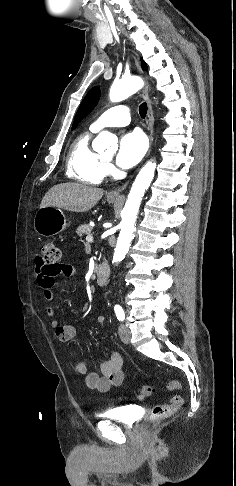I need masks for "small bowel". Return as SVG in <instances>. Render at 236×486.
Segmentation results:
<instances>
[{
    "label": "small bowel",
    "mask_w": 236,
    "mask_h": 486,
    "mask_svg": "<svg viewBox=\"0 0 236 486\" xmlns=\"http://www.w3.org/2000/svg\"><path fill=\"white\" fill-rule=\"evenodd\" d=\"M64 275L66 277H74L76 271L73 266L69 264H58L53 269L47 268L38 258L36 260L35 279L39 287L43 290V296L47 301L54 300L53 286L56 277ZM45 314L51 318V326L55 330L57 339L61 342H68L75 338L77 329L73 325H60L55 318V311L53 307L48 306L45 309ZM106 318L99 315L96 318V323L101 325ZM123 359L118 352H112L110 359L101 365L100 374L96 372H89L86 364L83 361H77L74 364L75 371L84 376V384L87 388L97 390L99 392H107L113 386H118L122 383L124 378L123 373Z\"/></svg>",
    "instance_id": "1"
}]
</instances>
